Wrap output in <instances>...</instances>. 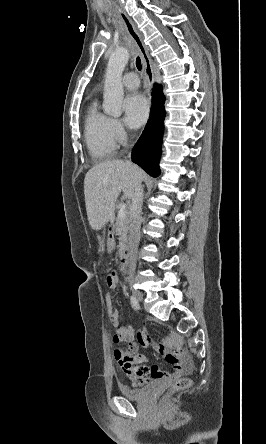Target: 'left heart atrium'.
<instances>
[{
  "instance_id": "1",
  "label": "left heart atrium",
  "mask_w": 266,
  "mask_h": 444,
  "mask_svg": "<svg viewBox=\"0 0 266 444\" xmlns=\"http://www.w3.org/2000/svg\"><path fill=\"white\" fill-rule=\"evenodd\" d=\"M125 121L131 127H139L145 123L149 106L144 96L138 93L130 94L124 100Z\"/></svg>"
}]
</instances>
